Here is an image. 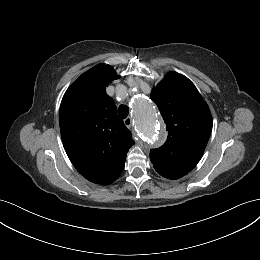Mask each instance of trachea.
Returning a JSON list of instances; mask_svg holds the SVG:
<instances>
[{"instance_id":"1","label":"trachea","mask_w":260,"mask_h":260,"mask_svg":"<svg viewBox=\"0 0 260 260\" xmlns=\"http://www.w3.org/2000/svg\"><path fill=\"white\" fill-rule=\"evenodd\" d=\"M118 114L122 119H125L129 114V109L126 105H120L118 108Z\"/></svg>"}]
</instances>
